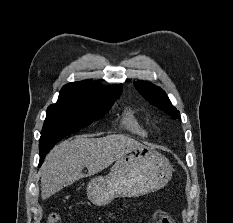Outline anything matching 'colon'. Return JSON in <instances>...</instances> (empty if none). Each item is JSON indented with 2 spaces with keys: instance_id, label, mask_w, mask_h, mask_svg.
Returning <instances> with one entry per match:
<instances>
[{
  "instance_id": "1",
  "label": "colon",
  "mask_w": 233,
  "mask_h": 223,
  "mask_svg": "<svg viewBox=\"0 0 233 223\" xmlns=\"http://www.w3.org/2000/svg\"><path fill=\"white\" fill-rule=\"evenodd\" d=\"M47 223H61L59 215L57 213H52ZM157 223H175V221L169 214L159 211L157 213Z\"/></svg>"
}]
</instances>
